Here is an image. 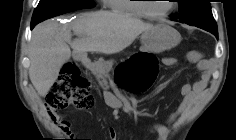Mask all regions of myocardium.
<instances>
[{
	"label": "myocardium",
	"mask_w": 236,
	"mask_h": 140,
	"mask_svg": "<svg viewBox=\"0 0 236 140\" xmlns=\"http://www.w3.org/2000/svg\"><path fill=\"white\" fill-rule=\"evenodd\" d=\"M142 1H145V0H142ZM171 1H173V0H171ZM170 5H171L170 8L162 13L151 12L148 8V4L143 3V2L138 4V7H139V10L143 16L150 18V19L158 20V19H162V18L167 17L171 12H173V10L176 8V5L173 2H171Z\"/></svg>",
	"instance_id": "f54148a6"
}]
</instances>
